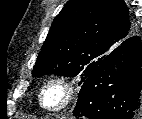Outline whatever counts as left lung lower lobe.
Listing matches in <instances>:
<instances>
[{
    "mask_svg": "<svg viewBox=\"0 0 142 119\" xmlns=\"http://www.w3.org/2000/svg\"><path fill=\"white\" fill-rule=\"evenodd\" d=\"M142 42L132 35L114 48L83 82L77 119H141Z\"/></svg>",
    "mask_w": 142,
    "mask_h": 119,
    "instance_id": "left-lung-lower-lobe-1",
    "label": "left lung lower lobe"
}]
</instances>
